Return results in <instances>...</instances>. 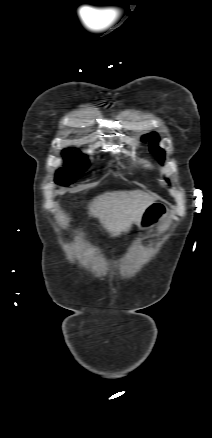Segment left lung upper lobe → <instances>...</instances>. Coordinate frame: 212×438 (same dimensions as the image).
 <instances>
[{
    "instance_id": "5c2ea615",
    "label": "left lung upper lobe",
    "mask_w": 212,
    "mask_h": 438,
    "mask_svg": "<svg viewBox=\"0 0 212 438\" xmlns=\"http://www.w3.org/2000/svg\"><path fill=\"white\" fill-rule=\"evenodd\" d=\"M158 139H159V138H158V136H157L156 133H150V134L144 135V136L142 137V140H143V141H146V140H150V141H151V143H150V151H151L152 153L156 154V158H157L160 162H162V161L164 160V151H163L162 149H160V148L156 145Z\"/></svg>"
}]
</instances>
